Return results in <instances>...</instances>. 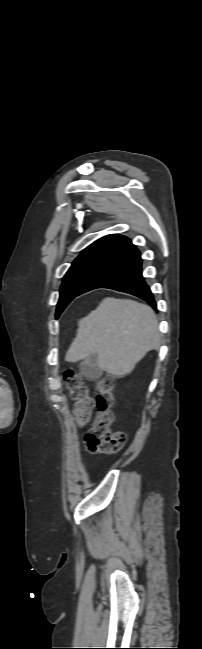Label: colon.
<instances>
[{"instance_id": "1", "label": "colon", "mask_w": 202, "mask_h": 649, "mask_svg": "<svg viewBox=\"0 0 202 649\" xmlns=\"http://www.w3.org/2000/svg\"><path fill=\"white\" fill-rule=\"evenodd\" d=\"M67 388L75 402L72 414L79 427H84L89 421L94 407V400L88 394L82 376L68 370L64 375ZM114 401V380L103 377L97 382V414L94 422L85 436L87 448L94 453L113 454L125 444L123 432L112 431L115 415L112 410Z\"/></svg>"}]
</instances>
